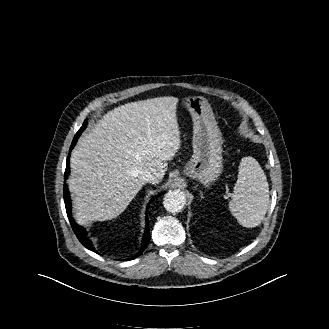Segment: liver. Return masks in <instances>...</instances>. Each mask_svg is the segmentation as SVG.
<instances>
[{
    "instance_id": "obj_1",
    "label": "liver",
    "mask_w": 329,
    "mask_h": 329,
    "mask_svg": "<svg viewBox=\"0 0 329 329\" xmlns=\"http://www.w3.org/2000/svg\"><path fill=\"white\" fill-rule=\"evenodd\" d=\"M176 97H157L107 112L71 153L69 190L78 222L119 216L145 184L150 170L159 183L180 148Z\"/></svg>"
}]
</instances>
